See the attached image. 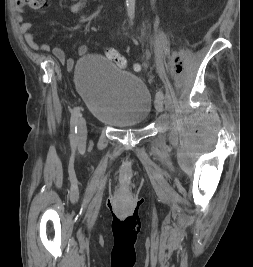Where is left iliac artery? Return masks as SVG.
Here are the masks:
<instances>
[{
  "label": "left iliac artery",
  "instance_id": "obj_1",
  "mask_svg": "<svg viewBox=\"0 0 253 267\" xmlns=\"http://www.w3.org/2000/svg\"><path fill=\"white\" fill-rule=\"evenodd\" d=\"M156 99H158L159 97H161L162 99H164V95L161 91H158L155 95Z\"/></svg>",
  "mask_w": 253,
  "mask_h": 267
}]
</instances>
